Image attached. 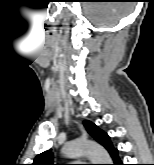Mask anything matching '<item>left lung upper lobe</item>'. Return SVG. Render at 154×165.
I'll list each match as a JSON object with an SVG mask.
<instances>
[{"instance_id":"left-lung-upper-lobe-1","label":"left lung upper lobe","mask_w":154,"mask_h":165,"mask_svg":"<svg viewBox=\"0 0 154 165\" xmlns=\"http://www.w3.org/2000/svg\"><path fill=\"white\" fill-rule=\"evenodd\" d=\"M84 126L86 127L88 133L100 144H102L112 155L116 150L112 143L110 142L109 136L99 129L95 124L90 121H85ZM32 165H54L53 164V153L51 150H47L39 155H37L34 159Z\"/></svg>"}]
</instances>
